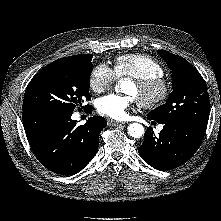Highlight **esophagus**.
I'll return each instance as SVG.
<instances>
[{
  "instance_id": "esophagus-1",
  "label": "esophagus",
  "mask_w": 221,
  "mask_h": 221,
  "mask_svg": "<svg viewBox=\"0 0 221 221\" xmlns=\"http://www.w3.org/2000/svg\"><path fill=\"white\" fill-rule=\"evenodd\" d=\"M110 125H113V126H118V125H124L125 122H119V121H114V120H109L108 122Z\"/></svg>"
}]
</instances>
